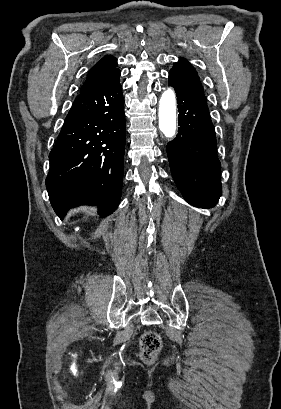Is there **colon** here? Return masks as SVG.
I'll list each match as a JSON object with an SVG mask.
<instances>
[{"label": "colon", "instance_id": "5ec220e1", "mask_svg": "<svg viewBox=\"0 0 281 409\" xmlns=\"http://www.w3.org/2000/svg\"><path fill=\"white\" fill-rule=\"evenodd\" d=\"M141 345V357L145 361L154 360L162 346L160 336L153 330L142 335Z\"/></svg>", "mask_w": 281, "mask_h": 409}]
</instances>
